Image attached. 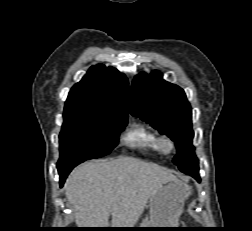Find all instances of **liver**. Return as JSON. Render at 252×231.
I'll return each mask as SVG.
<instances>
[{
  "instance_id": "liver-1",
  "label": "liver",
  "mask_w": 252,
  "mask_h": 231,
  "mask_svg": "<svg viewBox=\"0 0 252 231\" xmlns=\"http://www.w3.org/2000/svg\"><path fill=\"white\" fill-rule=\"evenodd\" d=\"M175 176L136 158L86 162L67 178L64 189L80 228H133L159 187Z\"/></svg>"
}]
</instances>
